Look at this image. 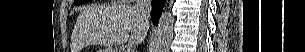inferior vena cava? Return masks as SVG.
<instances>
[{"instance_id": "inferior-vena-cava-1", "label": "inferior vena cava", "mask_w": 305, "mask_h": 52, "mask_svg": "<svg viewBox=\"0 0 305 52\" xmlns=\"http://www.w3.org/2000/svg\"><path fill=\"white\" fill-rule=\"evenodd\" d=\"M151 0H136L135 8L140 12L142 21L149 26V17L151 13Z\"/></svg>"}]
</instances>
